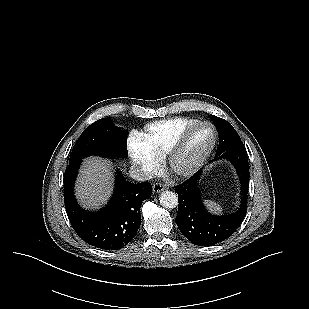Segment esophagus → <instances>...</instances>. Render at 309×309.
<instances>
[{
    "label": "esophagus",
    "instance_id": "34e87169",
    "mask_svg": "<svg viewBox=\"0 0 309 309\" xmlns=\"http://www.w3.org/2000/svg\"><path fill=\"white\" fill-rule=\"evenodd\" d=\"M164 189H166V186L161 184V183H155L153 184V192L154 193H160L161 191H163Z\"/></svg>",
    "mask_w": 309,
    "mask_h": 309
}]
</instances>
